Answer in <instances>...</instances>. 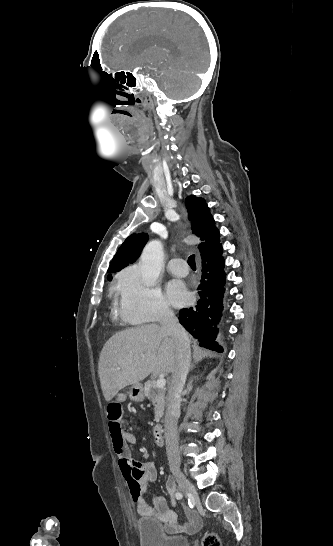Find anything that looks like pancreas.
<instances>
[{"label": "pancreas", "mask_w": 333, "mask_h": 546, "mask_svg": "<svg viewBox=\"0 0 333 546\" xmlns=\"http://www.w3.org/2000/svg\"><path fill=\"white\" fill-rule=\"evenodd\" d=\"M166 389L158 388L154 379L145 382L144 395L151 400L155 410V421L159 422L164 414Z\"/></svg>", "instance_id": "obj_1"}]
</instances>
